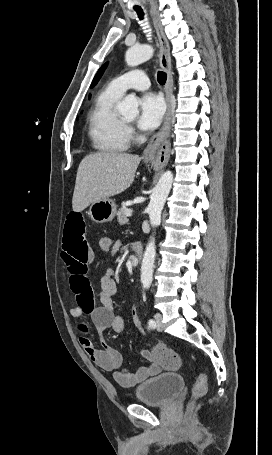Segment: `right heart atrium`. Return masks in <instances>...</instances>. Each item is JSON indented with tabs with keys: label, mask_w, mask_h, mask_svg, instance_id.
Returning <instances> with one entry per match:
<instances>
[{
	"label": "right heart atrium",
	"mask_w": 272,
	"mask_h": 455,
	"mask_svg": "<svg viewBox=\"0 0 272 455\" xmlns=\"http://www.w3.org/2000/svg\"><path fill=\"white\" fill-rule=\"evenodd\" d=\"M129 134H133V130L131 128L128 129Z\"/></svg>",
	"instance_id": "obj_1"
}]
</instances>
